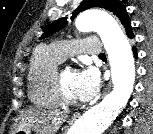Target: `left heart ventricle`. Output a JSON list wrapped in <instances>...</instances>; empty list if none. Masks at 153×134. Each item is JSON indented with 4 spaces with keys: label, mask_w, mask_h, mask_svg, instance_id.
<instances>
[{
    "label": "left heart ventricle",
    "mask_w": 153,
    "mask_h": 134,
    "mask_svg": "<svg viewBox=\"0 0 153 134\" xmlns=\"http://www.w3.org/2000/svg\"><path fill=\"white\" fill-rule=\"evenodd\" d=\"M59 78L67 96L77 100L78 97L75 90L76 72L72 69H63L59 72Z\"/></svg>",
    "instance_id": "1"
}]
</instances>
